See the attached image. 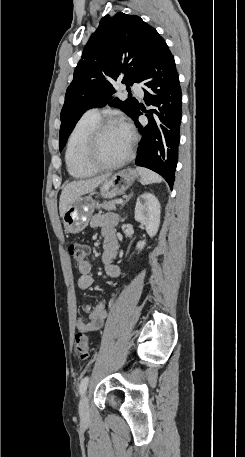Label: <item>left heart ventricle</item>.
<instances>
[{
	"instance_id": "left-heart-ventricle-1",
	"label": "left heart ventricle",
	"mask_w": 245,
	"mask_h": 457,
	"mask_svg": "<svg viewBox=\"0 0 245 457\" xmlns=\"http://www.w3.org/2000/svg\"><path fill=\"white\" fill-rule=\"evenodd\" d=\"M130 143L127 131L121 127L107 129L97 145L91 147L88 159L94 164L115 160L122 156Z\"/></svg>"
}]
</instances>
